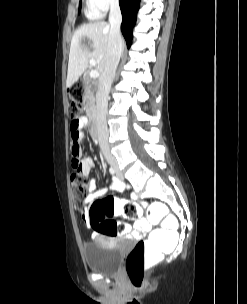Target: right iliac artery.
<instances>
[{"mask_svg":"<svg viewBox=\"0 0 247 304\" xmlns=\"http://www.w3.org/2000/svg\"><path fill=\"white\" fill-rule=\"evenodd\" d=\"M109 172H110V174L114 175V174H115L114 168H113V167H110V168H109ZM114 180H115V177H114Z\"/></svg>","mask_w":247,"mask_h":304,"instance_id":"right-iliac-artery-1","label":"right iliac artery"}]
</instances>
